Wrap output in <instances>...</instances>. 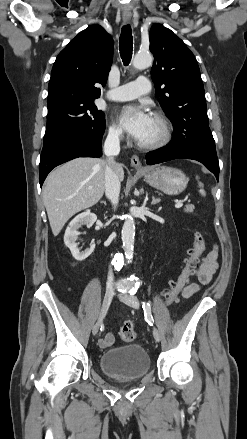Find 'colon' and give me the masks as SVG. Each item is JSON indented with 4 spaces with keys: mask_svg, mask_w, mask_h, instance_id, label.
Returning <instances> with one entry per match:
<instances>
[{
    "mask_svg": "<svg viewBox=\"0 0 247 439\" xmlns=\"http://www.w3.org/2000/svg\"><path fill=\"white\" fill-rule=\"evenodd\" d=\"M205 249V241L201 232H195L193 246L189 249V258L186 265L178 276V278L172 281L168 288L164 291L163 299L166 305H171L177 300L179 293L189 282L191 276H193L199 262L200 257ZM137 332L132 322L125 323L120 330V338L124 342H132L136 339Z\"/></svg>",
    "mask_w": 247,
    "mask_h": 439,
    "instance_id": "5ec220e1",
    "label": "colon"
}]
</instances>
